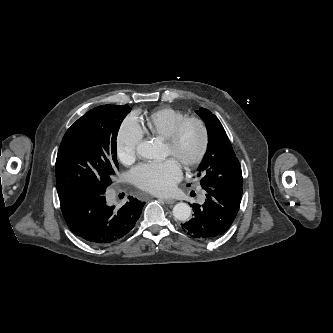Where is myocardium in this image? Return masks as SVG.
<instances>
[{
    "label": "myocardium",
    "instance_id": "myocardium-1",
    "mask_svg": "<svg viewBox=\"0 0 333 333\" xmlns=\"http://www.w3.org/2000/svg\"><path fill=\"white\" fill-rule=\"evenodd\" d=\"M195 125L200 131V147L197 154L189 160H182L181 163L185 168H194L198 166L205 158L209 148V130L206 123L197 117H186L180 121L172 130L170 136L167 138V145L176 154L182 134L187 126Z\"/></svg>",
    "mask_w": 333,
    "mask_h": 333
}]
</instances>
